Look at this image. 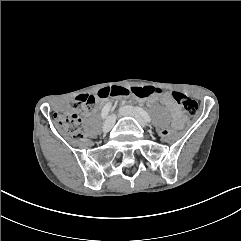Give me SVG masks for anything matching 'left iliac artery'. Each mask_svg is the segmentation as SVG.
<instances>
[{
    "label": "left iliac artery",
    "mask_w": 241,
    "mask_h": 241,
    "mask_svg": "<svg viewBox=\"0 0 241 241\" xmlns=\"http://www.w3.org/2000/svg\"><path fill=\"white\" fill-rule=\"evenodd\" d=\"M137 111L140 113V115L145 119L146 122L150 123L151 122V117L149 116V114L143 110L140 107H136Z\"/></svg>",
    "instance_id": "1"
}]
</instances>
